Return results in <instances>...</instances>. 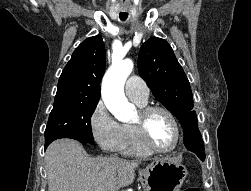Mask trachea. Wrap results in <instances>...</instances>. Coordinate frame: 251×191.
I'll return each mask as SVG.
<instances>
[{
	"mask_svg": "<svg viewBox=\"0 0 251 191\" xmlns=\"http://www.w3.org/2000/svg\"><path fill=\"white\" fill-rule=\"evenodd\" d=\"M126 18H127V15H120V19H121L122 21L126 20Z\"/></svg>",
	"mask_w": 251,
	"mask_h": 191,
	"instance_id": "obj_1",
	"label": "trachea"
}]
</instances>
